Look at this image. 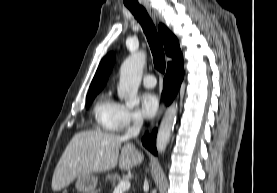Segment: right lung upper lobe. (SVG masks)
I'll return each instance as SVG.
<instances>
[{
  "label": "right lung upper lobe",
  "instance_id": "obj_1",
  "mask_svg": "<svg viewBox=\"0 0 277 193\" xmlns=\"http://www.w3.org/2000/svg\"><path fill=\"white\" fill-rule=\"evenodd\" d=\"M160 37L164 43L165 52L169 57H172L173 60L182 56L181 50L179 47V42L174 34L169 31V29L160 24L158 27ZM115 62V55L113 53L107 54L100 62V65L97 69V72L93 78V81L90 85L89 92H99L104 85L106 84L109 74L112 70L113 64ZM169 64V63H168Z\"/></svg>",
  "mask_w": 277,
  "mask_h": 193
}]
</instances>
